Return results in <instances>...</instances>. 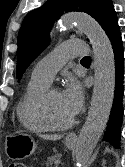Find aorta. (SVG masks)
I'll return each instance as SVG.
<instances>
[{"label":"aorta","mask_w":125,"mask_h":167,"mask_svg":"<svg viewBox=\"0 0 125 167\" xmlns=\"http://www.w3.org/2000/svg\"><path fill=\"white\" fill-rule=\"evenodd\" d=\"M73 25L89 38L94 53L93 97L74 155L77 166L86 167L110 115L115 91V60L108 36L93 18L83 13H70L59 21L61 31Z\"/></svg>","instance_id":"1"}]
</instances>
